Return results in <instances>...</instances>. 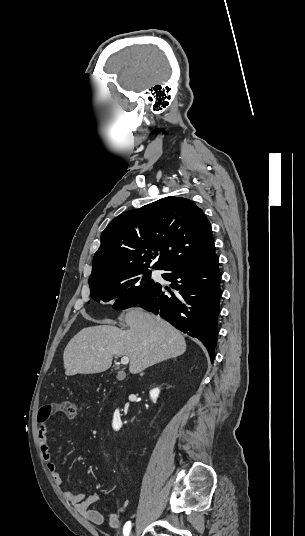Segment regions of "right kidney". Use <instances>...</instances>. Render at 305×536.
I'll list each match as a JSON object with an SVG mask.
<instances>
[{
  "instance_id": "right-kidney-1",
  "label": "right kidney",
  "mask_w": 305,
  "mask_h": 536,
  "mask_svg": "<svg viewBox=\"0 0 305 536\" xmlns=\"http://www.w3.org/2000/svg\"><path fill=\"white\" fill-rule=\"evenodd\" d=\"M159 394H160L159 388H154V390H150V398H151L152 402H156ZM121 426H122V422H121L119 410H116V412H114V416H113L112 428H113V430H120Z\"/></svg>"
}]
</instances>
